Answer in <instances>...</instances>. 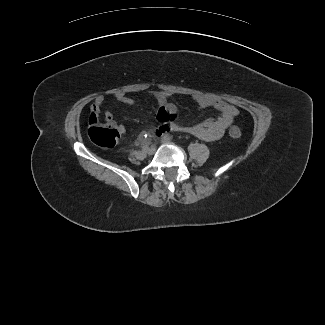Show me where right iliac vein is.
<instances>
[{
	"instance_id": "1",
	"label": "right iliac vein",
	"mask_w": 325,
	"mask_h": 325,
	"mask_svg": "<svg viewBox=\"0 0 325 325\" xmlns=\"http://www.w3.org/2000/svg\"><path fill=\"white\" fill-rule=\"evenodd\" d=\"M156 151V148L154 146H151L146 152L148 155H153Z\"/></svg>"
}]
</instances>
